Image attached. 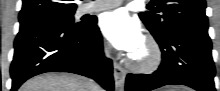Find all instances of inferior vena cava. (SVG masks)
<instances>
[{
    "label": "inferior vena cava",
    "mask_w": 220,
    "mask_h": 91,
    "mask_svg": "<svg viewBox=\"0 0 220 91\" xmlns=\"http://www.w3.org/2000/svg\"><path fill=\"white\" fill-rule=\"evenodd\" d=\"M105 53H106V56H109V49L108 48L105 49Z\"/></svg>",
    "instance_id": "inferior-vena-cava-1"
}]
</instances>
